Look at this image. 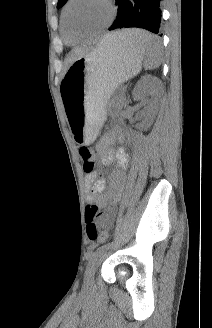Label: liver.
Wrapping results in <instances>:
<instances>
[{"label":"liver","instance_id":"obj_1","mask_svg":"<svg viewBox=\"0 0 212 328\" xmlns=\"http://www.w3.org/2000/svg\"><path fill=\"white\" fill-rule=\"evenodd\" d=\"M129 30H124V31H121V32H124V36L127 38L128 37V32ZM115 35V33H110L108 34L107 36H110V35ZM106 37V36H105ZM88 53V50H85V49H82V48H74L70 53H69V56H68V59H67V64L68 65H71L73 62H75L78 58L82 57L83 55L87 54Z\"/></svg>","mask_w":212,"mask_h":328}]
</instances>
